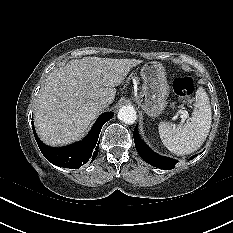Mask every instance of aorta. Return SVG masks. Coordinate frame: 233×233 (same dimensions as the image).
I'll list each match as a JSON object with an SVG mask.
<instances>
[{
  "label": "aorta",
  "instance_id": "762f6f07",
  "mask_svg": "<svg viewBox=\"0 0 233 233\" xmlns=\"http://www.w3.org/2000/svg\"><path fill=\"white\" fill-rule=\"evenodd\" d=\"M117 116L119 120L126 124H133L137 119V113L132 106H123Z\"/></svg>",
  "mask_w": 233,
  "mask_h": 233
}]
</instances>
